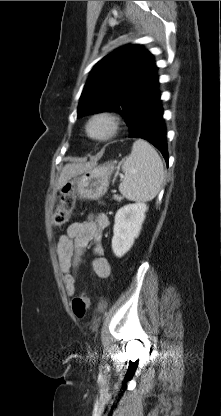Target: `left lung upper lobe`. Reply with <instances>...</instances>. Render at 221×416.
Returning <instances> with one entry per match:
<instances>
[{
    "mask_svg": "<svg viewBox=\"0 0 221 416\" xmlns=\"http://www.w3.org/2000/svg\"><path fill=\"white\" fill-rule=\"evenodd\" d=\"M156 71L153 56L140 45H128L108 54L91 71L78 117L115 111L129 126L138 104L158 85Z\"/></svg>",
    "mask_w": 221,
    "mask_h": 416,
    "instance_id": "obj_1",
    "label": "left lung upper lobe"
}]
</instances>
